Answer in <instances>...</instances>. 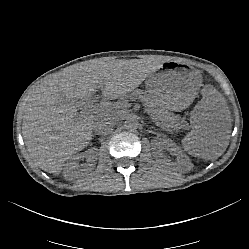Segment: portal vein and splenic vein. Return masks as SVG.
<instances>
[{
	"label": "portal vein and splenic vein",
	"mask_w": 249,
	"mask_h": 249,
	"mask_svg": "<svg viewBox=\"0 0 249 249\" xmlns=\"http://www.w3.org/2000/svg\"><path fill=\"white\" fill-rule=\"evenodd\" d=\"M95 110H96V106L93 105V102L88 103V107L83 109L84 112H96ZM146 112H148V111H146ZM149 113L153 114V112H149ZM93 114H95V113H93ZM151 119L153 121L158 120L157 117H151ZM163 123L164 124L167 123V120L163 121ZM175 125H176V122H171V124L168 127H175Z\"/></svg>",
	"instance_id": "portal-vein-and-splenic-vein-1"
}]
</instances>
